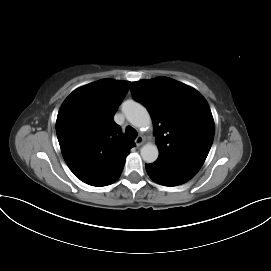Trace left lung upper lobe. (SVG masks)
<instances>
[{
  "label": "left lung upper lobe",
  "mask_w": 271,
  "mask_h": 271,
  "mask_svg": "<svg viewBox=\"0 0 271 271\" xmlns=\"http://www.w3.org/2000/svg\"><path fill=\"white\" fill-rule=\"evenodd\" d=\"M153 119L159 157L201 168L214 137L208 103L194 88L167 77L131 83Z\"/></svg>",
  "instance_id": "1"
}]
</instances>
